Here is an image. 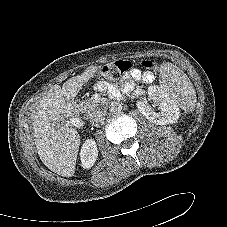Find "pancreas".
<instances>
[{
  "instance_id": "1",
  "label": "pancreas",
  "mask_w": 227,
  "mask_h": 227,
  "mask_svg": "<svg viewBox=\"0 0 227 227\" xmlns=\"http://www.w3.org/2000/svg\"><path fill=\"white\" fill-rule=\"evenodd\" d=\"M77 107L79 108V110L81 112L90 113V112L94 111L98 107V103L94 102L92 100L80 101L77 104Z\"/></svg>"
}]
</instances>
